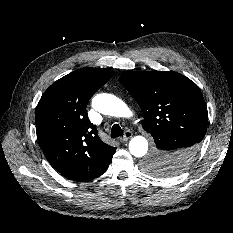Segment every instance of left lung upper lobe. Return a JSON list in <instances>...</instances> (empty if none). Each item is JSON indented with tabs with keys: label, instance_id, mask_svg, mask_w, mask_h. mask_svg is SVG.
<instances>
[{
	"label": "left lung upper lobe",
	"instance_id": "obj_1",
	"mask_svg": "<svg viewBox=\"0 0 233 233\" xmlns=\"http://www.w3.org/2000/svg\"><path fill=\"white\" fill-rule=\"evenodd\" d=\"M143 112V128L152 136L160 132L181 133L193 139L196 154L206 134L208 112L198 86L174 71H132L120 78ZM171 155L154 148L144 161L153 175H177L184 171Z\"/></svg>",
	"mask_w": 233,
	"mask_h": 233
}]
</instances>
